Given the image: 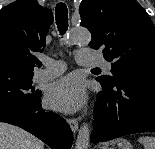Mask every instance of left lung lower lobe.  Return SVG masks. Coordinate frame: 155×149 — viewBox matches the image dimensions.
Returning a JSON list of instances; mask_svg holds the SVG:
<instances>
[{
    "label": "left lung lower lobe",
    "mask_w": 155,
    "mask_h": 149,
    "mask_svg": "<svg viewBox=\"0 0 155 149\" xmlns=\"http://www.w3.org/2000/svg\"><path fill=\"white\" fill-rule=\"evenodd\" d=\"M99 82L104 92L98 93L94 108V144L133 133L155 132V69L131 70L112 84Z\"/></svg>",
    "instance_id": "obj_1"
}]
</instances>
